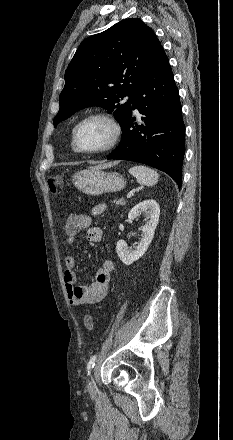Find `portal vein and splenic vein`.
<instances>
[{
    "label": "portal vein and splenic vein",
    "instance_id": "18ae733b",
    "mask_svg": "<svg viewBox=\"0 0 233 440\" xmlns=\"http://www.w3.org/2000/svg\"><path fill=\"white\" fill-rule=\"evenodd\" d=\"M131 196H132L131 194H128V195H127V198H131Z\"/></svg>",
    "mask_w": 233,
    "mask_h": 440
}]
</instances>
